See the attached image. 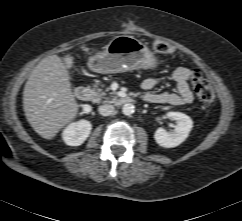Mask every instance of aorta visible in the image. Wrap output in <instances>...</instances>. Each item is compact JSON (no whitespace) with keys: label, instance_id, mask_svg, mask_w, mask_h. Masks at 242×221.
<instances>
[{"label":"aorta","instance_id":"aorta-1","mask_svg":"<svg viewBox=\"0 0 242 221\" xmlns=\"http://www.w3.org/2000/svg\"><path fill=\"white\" fill-rule=\"evenodd\" d=\"M134 111H135V107L133 104L127 103L122 107V113L126 116H130L131 114L134 113Z\"/></svg>","mask_w":242,"mask_h":221}]
</instances>
